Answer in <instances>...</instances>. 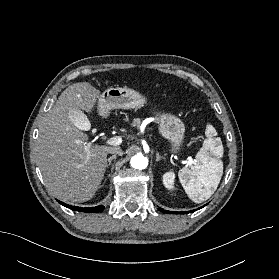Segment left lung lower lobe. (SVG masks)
<instances>
[{"mask_svg": "<svg viewBox=\"0 0 279 279\" xmlns=\"http://www.w3.org/2000/svg\"><path fill=\"white\" fill-rule=\"evenodd\" d=\"M160 211H162L163 213H173V214H176V213H180V214H186V213H189V211H187V212H171V211H166V210H163V209H159ZM193 211H195V210H192V211H190V212H193Z\"/></svg>", "mask_w": 279, "mask_h": 279, "instance_id": "0a47b994", "label": "left lung lower lobe"}]
</instances>
